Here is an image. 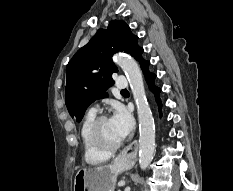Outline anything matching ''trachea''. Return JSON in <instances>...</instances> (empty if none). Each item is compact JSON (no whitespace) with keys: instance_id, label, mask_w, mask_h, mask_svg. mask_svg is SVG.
<instances>
[{"instance_id":"1","label":"trachea","mask_w":233,"mask_h":191,"mask_svg":"<svg viewBox=\"0 0 233 191\" xmlns=\"http://www.w3.org/2000/svg\"><path fill=\"white\" fill-rule=\"evenodd\" d=\"M121 92H127V90H126V89H124V90H122Z\"/></svg>"}]
</instances>
